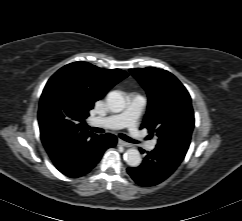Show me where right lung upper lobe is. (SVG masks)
I'll use <instances>...</instances> for the list:
<instances>
[{
    "label": "right lung upper lobe",
    "instance_id": "1",
    "mask_svg": "<svg viewBox=\"0 0 242 221\" xmlns=\"http://www.w3.org/2000/svg\"><path fill=\"white\" fill-rule=\"evenodd\" d=\"M127 76L120 69L74 62L48 80L40 98L38 121L42 143L51 159L66 153L78 139L93 135L83 125L89 111Z\"/></svg>",
    "mask_w": 242,
    "mask_h": 221
}]
</instances>
